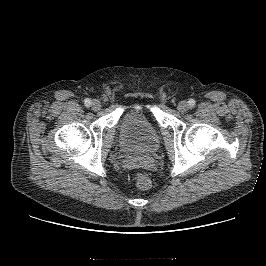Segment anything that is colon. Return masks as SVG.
<instances>
[{"instance_id":"1","label":"colon","mask_w":266,"mask_h":266,"mask_svg":"<svg viewBox=\"0 0 266 266\" xmlns=\"http://www.w3.org/2000/svg\"><path fill=\"white\" fill-rule=\"evenodd\" d=\"M134 182L138 189L146 190L151 186V179L143 172H137L134 175Z\"/></svg>"}]
</instances>
